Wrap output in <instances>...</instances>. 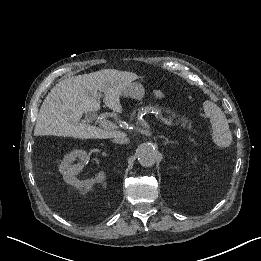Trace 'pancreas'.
Listing matches in <instances>:
<instances>
[{
	"label": "pancreas",
	"mask_w": 261,
	"mask_h": 261,
	"mask_svg": "<svg viewBox=\"0 0 261 261\" xmlns=\"http://www.w3.org/2000/svg\"><path fill=\"white\" fill-rule=\"evenodd\" d=\"M153 110L155 112H161L172 118L174 121L178 123H182L185 125L186 128L190 129L191 131H194L196 129V126L194 125L193 121L189 119V117L184 116L180 114L178 111L172 109L169 106H166L162 102H156V103H145L142 105H139L138 107H134L132 111L129 113V119L131 121H134L136 119V115L139 112L146 111V110Z\"/></svg>",
	"instance_id": "1"
}]
</instances>
